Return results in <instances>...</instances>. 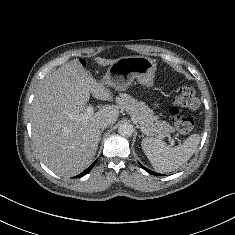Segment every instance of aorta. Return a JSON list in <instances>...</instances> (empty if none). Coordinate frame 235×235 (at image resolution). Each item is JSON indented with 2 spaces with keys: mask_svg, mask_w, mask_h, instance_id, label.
<instances>
[{
  "mask_svg": "<svg viewBox=\"0 0 235 235\" xmlns=\"http://www.w3.org/2000/svg\"><path fill=\"white\" fill-rule=\"evenodd\" d=\"M133 126L130 123L120 124L118 132L123 137H131L133 134Z\"/></svg>",
  "mask_w": 235,
  "mask_h": 235,
  "instance_id": "762f6f07",
  "label": "aorta"
}]
</instances>
